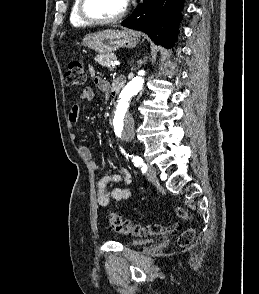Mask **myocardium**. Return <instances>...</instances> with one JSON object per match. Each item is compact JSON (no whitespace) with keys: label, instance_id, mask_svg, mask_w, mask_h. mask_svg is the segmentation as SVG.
Returning <instances> with one entry per match:
<instances>
[{"label":"myocardium","instance_id":"obj_1","mask_svg":"<svg viewBox=\"0 0 259 294\" xmlns=\"http://www.w3.org/2000/svg\"><path fill=\"white\" fill-rule=\"evenodd\" d=\"M86 2L87 0H79L78 3V15L86 24L88 25H107L113 24L120 21L127 13V6L123 8V10L114 17L110 18H95L89 15L86 11Z\"/></svg>","mask_w":259,"mask_h":294}]
</instances>
